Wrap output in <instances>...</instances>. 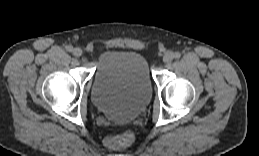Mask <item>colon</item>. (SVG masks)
Instances as JSON below:
<instances>
[{"label":"colon","mask_w":259,"mask_h":156,"mask_svg":"<svg viewBox=\"0 0 259 156\" xmlns=\"http://www.w3.org/2000/svg\"><path fill=\"white\" fill-rule=\"evenodd\" d=\"M134 133L130 130H124L118 135L110 136L105 139V145L110 149H119L129 146L134 141Z\"/></svg>","instance_id":"obj_1"}]
</instances>
